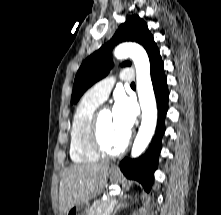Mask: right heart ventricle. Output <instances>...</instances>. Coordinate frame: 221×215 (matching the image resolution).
<instances>
[{"label": "right heart ventricle", "instance_id": "e07e8e85", "mask_svg": "<svg viewBox=\"0 0 221 215\" xmlns=\"http://www.w3.org/2000/svg\"><path fill=\"white\" fill-rule=\"evenodd\" d=\"M101 101L86 94L77 105L70 131L69 154L74 163H94L100 158L89 143V130Z\"/></svg>", "mask_w": 221, "mask_h": 215}]
</instances>
